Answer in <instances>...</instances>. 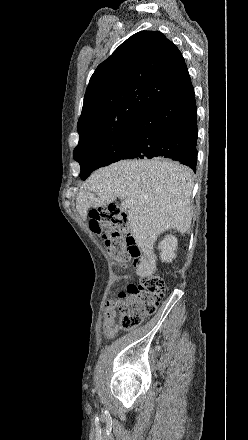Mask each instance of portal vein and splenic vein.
<instances>
[{
    "label": "portal vein and splenic vein",
    "mask_w": 248,
    "mask_h": 440,
    "mask_svg": "<svg viewBox=\"0 0 248 440\" xmlns=\"http://www.w3.org/2000/svg\"><path fill=\"white\" fill-rule=\"evenodd\" d=\"M133 204V200L127 199V200H123L121 203V206L124 209H129L131 207V205Z\"/></svg>",
    "instance_id": "1"
}]
</instances>
